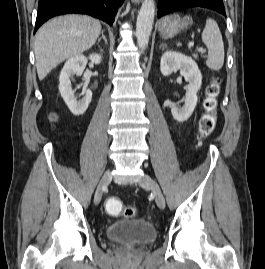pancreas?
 <instances>
[{
	"instance_id": "obj_1",
	"label": "pancreas",
	"mask_w": 265,
	"mask_h": 269,
	"mask_svg": "<svg viewBox=\"0 0 265 269\" xmlns=\"http://www.w3.org/2000/svg\"><path fill=\"white\" fill-rule=\"evenodd\" d=\"M193 57H194L195 59H197V58H198V55H197V54H194Z\"/></svg>"
}]
</instances>
